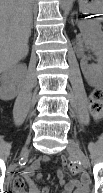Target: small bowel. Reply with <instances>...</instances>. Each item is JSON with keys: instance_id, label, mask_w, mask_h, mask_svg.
<instances>
[{"instance_id": "c3829d8e", "label": "small bowel", "mask_w": 103, "mask_h": 193, "mask_svg": "<svg viewBox=\"0 0 103 193\" xmlns=\"http://www.w3.org/2000/svg\"><path fill=\"white\" fill-rule=\"evenodd\" d=\"M46 161V158L35 160L24 169L20 176L15 177L13 180L12 191L13 193H51L48 187L40 188L32 180V176L40 168L41 162ZM59 178L62 185L61 193H87L89 189V181L86 177H83L80 181L76 179L66 180L65 172L59 171ZM25 182L28 184V192L24 190Z\"/></svg>"}]
</instances>
